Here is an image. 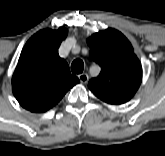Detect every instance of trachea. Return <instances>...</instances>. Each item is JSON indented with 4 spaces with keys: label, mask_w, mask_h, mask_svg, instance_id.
<instances>
[{
    "label": "trachea",
    "mask_w": 165,
    "mask_h": 156,
    "mask_svg": "<svg viewBox=\"0 0 165 156\" xmlns=\"http://www.w3.org/2000/svg\"><path fill=\"white\" fill-rule=\"evenodd\" d=\"M84 70V63L81 59H75L71 64V71L74 74H80Z\"/></svg>",
    "instance_id": "3493384b"
}]
</instances>
